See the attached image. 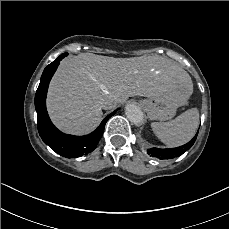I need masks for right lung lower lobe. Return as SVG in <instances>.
Returning a JSON list of instances; mask_svg holds the SVG:
<instances>
[{
	"label": "right lung lower lobe",
	"mask_w": 229,
	"mask_h": 229,
	"mask_svg": "<svg viewBox=\"0 0 229 229\" xmlns=\"http://www.w3.org/2000/svg\"><path fill=\"white\" fill-rule=\"evenodd\" d=\"M65 56H67V53L61 54L43 71L35 95V109L37 111L38 131L44 143L63 157L75 158L86 155L97 147V144L103 135L107 120L116 113V110L105 117L100 126L94 132L86 136L64 134L52 124L46 110V95L49 82L60 61Z\"/></svg>",
	"instance_id": "obj_1"
}]
</instances>
